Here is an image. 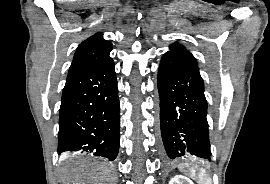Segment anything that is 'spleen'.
<instances>
[{
    "label": "spleen",
    "instance_id": "3e777b00",
    "mask_svg": "<svg viewBox=\"0 0 270 184\" xmlns=\"http://www.w3.org/2000/svg\"><path fill=\"white\" fill-rule=\"evenodd\" d=\"M191 177H193V178L196 177V170L195 169H193L191 171ZM197 177H198V184H212L211 178L208 176L205 169H200Z\"/></svg>",
    "mask_w": 270,
    "mask_h": 184
}]
</instances>
